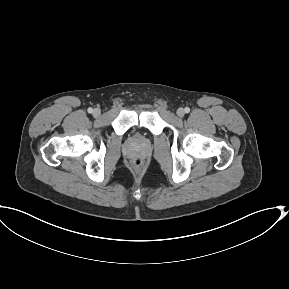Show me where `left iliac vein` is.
I'll return each mask as SVG.
<instances>
[{
    "label": "left iliac vein",
    "instance_id": "left-iliac-vein-1",
    "mask_svg": "<svg viewBox=\"0 0 289 289\" xmlns=\"http://www.w3.org/2000/svg\"><path fill=\"white\" fill-rule=\"evenodd\" d=\"M184 114H185V111H184L183 108H179V109L177 110V115H178L179 117H183Z\"/></svg>",
    "mask_w": 289,
    "mask_h": 289
}]
</instances>
